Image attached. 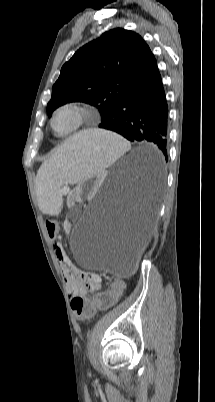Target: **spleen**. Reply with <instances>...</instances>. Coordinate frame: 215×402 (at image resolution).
Returning <instances> with one entry per match:
<instances>
[{
  "label": "spleen",
  "mask_w": 215,
  "mask_h": 402,
  "mask_svg": "<svg viewBox=\"0 0 215 402\" xmlns=\"http://www.w3.org/2000/svg\"><path fill=\"white\" fill-rule=\"evenodd\" d=\"M130 144L116 134L84 128L65 141L51 160L45 163L38 176V208L48 214H57L63 209L61 190L67 182H76L86 175H94L98 169L112 164Z\"/></svg>",
  "instance_id": "1"
}]
</instances>
